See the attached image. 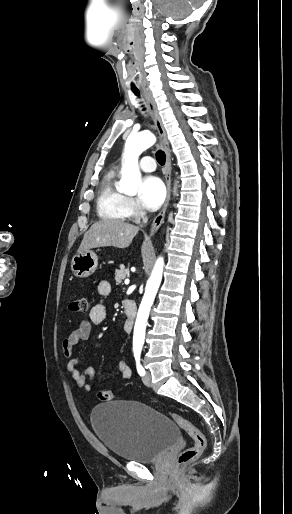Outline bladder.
<instances>
[{"label": "bladder", "mask_w": 292, "mask_h": 514, "mask_svg": "<svg viewBox=\"0 0 292 514\" xmlns=\"http://www.w3.org/2000/svg\"><path fill=\"white\" fill-rule=\"evenodd\" d=\"M90 420L107 450L124 461H156L180 436L172 419L136 401L99 404L92 409Z\"/></svg>", "instance_id": "bladder-1"}]
</instances>
